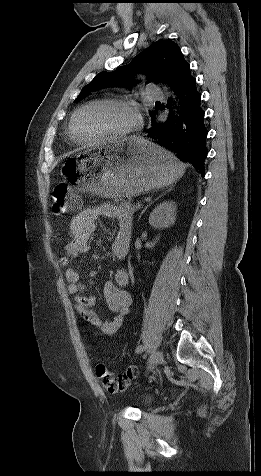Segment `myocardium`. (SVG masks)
Returning <instances> with one entry per match:
<instances>
[{"label": "myocardium", "mask_w": 261, "mask_h": 476, "mask_svg": "<svg viewBox=\"0 0 261 476\" xmlns=\"http://www.w3.org/2000/svg\"><path fill=\"white\" fill-rule=\"evenodd\" d=\"M97 104H114V105H119L122 106L126 109H128L133 116V121L132 123L125 129L112 133V134H107L100 136L95 139H84L82 138L77 130H76V121L79 116V114L85 110L86 108L97 105ZM141 122V115L138 110V108L131 102L120 99V98H112V97H104V98H96L93 100H90L83 105L79 106L73 113L71 117V121L69 124V130L72 136L73 141L79 143V144H85V145H91V144H96L100 142H104L107 140H115V139H122L125 138L129 135H131L140 125Z\"/></svg>", "instance_id": "myocardium-1"}]
</instances>
